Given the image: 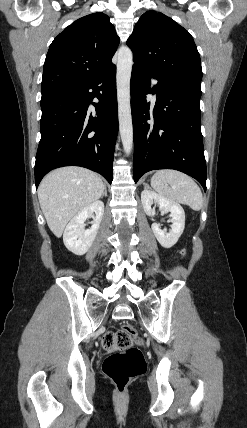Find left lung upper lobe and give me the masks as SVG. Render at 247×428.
I'll return each mask as SVG.
<instances>
[{
  "label": "left lung upper lobe",
  "mask_w": 247,
  "mask_h": 428,
  "mask_svg": "<svg viewBox=\"0 0 247 428\" xmlns=\"http://www.w3.org/2000/svg\"><path fill=\"white\" fill-rule=\"evenodd\" d=\"M127 45L133 61L151 70L164 82L201 94L200 55L192 36L170 17L145 12L136 23Z\"/></svg>",
  "instance_id": "left-lung-upper-lobe-1"
}]
</instances>
